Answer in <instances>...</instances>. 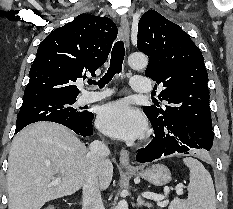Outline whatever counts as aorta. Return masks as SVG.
<instances>
[{
	"instance_id": "aorta-1",
	"label": "aorta",
	"mask_w": 233,
	"mask_h": 209,
	"mask_svg": "<svg viewBox=\"0 0 233 209\" xmlns=\"http://www.w3.org/2000/svg\"><path fill=\"white\" fill-rule=\"evenodd\" d=\"M128 64L134 69L146 68L148 64V58L144 54L135 53L131 54L128 58ZM116 209H128V204L126 201H120Z\"/></svg>"
}]
</instances>
